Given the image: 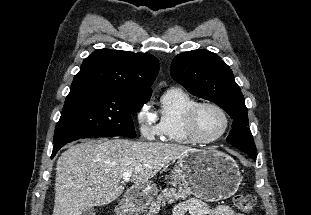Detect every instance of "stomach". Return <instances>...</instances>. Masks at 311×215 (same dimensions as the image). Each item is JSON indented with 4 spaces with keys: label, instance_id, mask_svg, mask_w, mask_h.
Wrapping results in <instances>:
<instances>
[{
    "label": "stomach",
    "instance_id": "0dacf381",
    "mask_svg": "<svg viewBox=\"0 0 311 215\" xmlns=\"http://www.w3.org/2000/svg\"><path fill=\"white\" fill-rule=\"evenodd\" d=\"M173 184H179L188 194L208 202L233 196L240 185L241 174L235 160L215 149L193 150L176 163L172 171ZM154 182L149 181L130 189L117 215H139L157 195Z\"/></svg>",
    "mask_w": 311,
    "mask_h": 215
}]
</instances>
